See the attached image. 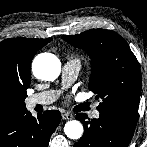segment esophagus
<instances>
[{"label": "esophagus", "instance_id": "34e87169", "mask_svg": "<svg viewBox=\"0 0 147 147\" xmlns=\"http://www.w3.org/2000/svg\"><path fill=\"white\" fill-rule=\"evenodd\" d=\"M62 119L71 120V119H73V115L68 113V112H65V113L62 114Z\"/></svg>", "mask_w": 147, "mask_h": 147}]
</instances>
